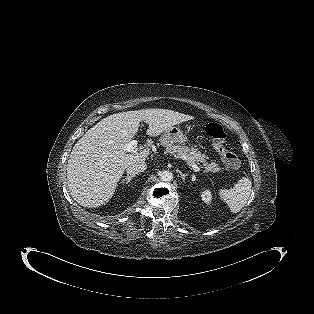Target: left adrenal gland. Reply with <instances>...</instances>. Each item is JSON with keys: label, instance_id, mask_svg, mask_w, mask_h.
I'll return each instance as SVG.
<instances>
[{"label": "left adrenal gland", "instance_id": "a2214340", "mask_svg": "<svg viewBox=\"0 0 314 314\" xmlns=\"http://www.w3.org/2000/svg\"><path fill=\"white\" fill-rule=\"evenodd\" d=\"M180 175H181L183 182H185V178L188 176V174H184V173L180 172Z\"/></svg>", "mask_w": 314, "mask_h": 314}]
</instances>
